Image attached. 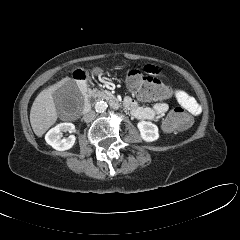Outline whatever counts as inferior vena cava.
I'll return each instance as SVG.
<instances>
[{
  "mask_svg": "<svg viewBox=\"0 0 240 240\" xmlns=\"http://www.w3.org/2000/svg\"><path fill=\"white\" fill-rule=\"evenodd\" d=\"M95 118V112L93 110H89L88 112H86L83 116V120L86 123L91 122L93 119Z\"/></svg>",
  "mask_w": 240,
  "mask_h": 240,
  "instance_id": "obj_1",
  "label": "inferior vena cava"
}]
</instances>
